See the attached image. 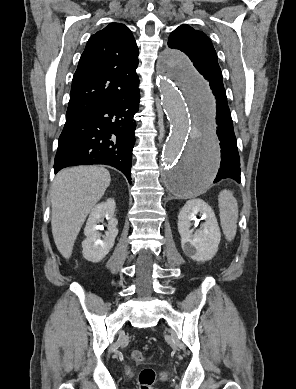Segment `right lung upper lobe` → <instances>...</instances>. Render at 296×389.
Instances as JSON below:
<instances>
[{
	"mask_svg": "<svg viewBox=\"0 0 296 389\" xmlns=\"http://www.w3.org/2000/svg\"><path fill=\"white\" fill-rule=\"evenodd\" d=\"M138 47L124 24L92 35L72 80L66 120L120 98L137 77Z\"/></svg>",
	"mask_w": 296,
	"mask_h": 389,
	"instance_id": "cb5924a9",
	"label": "right lung upper lobe"
}]
</instances>
